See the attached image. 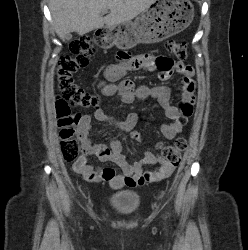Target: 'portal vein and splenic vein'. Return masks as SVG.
I'll use <instances>...</instances> for the list:
<instances>
[{"mask_svg": "<svg viewBox=\"0 0 248 250\" xmlns=\"http://www.w3.org/2000/svg\"><path fill=\"white\" fill-rule=\"evenodd\" d=\"M102 13H103V14H107V13H108V11H107V10H104Z\"/></svg>", "mask_w": 248, "mask_h": 250, "instance_id": "obj_1", "label": "portal vein and splenic vein"}]
</instances>
